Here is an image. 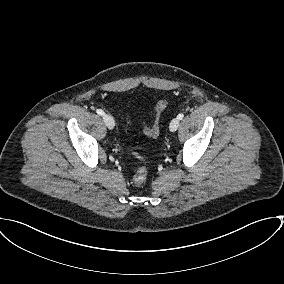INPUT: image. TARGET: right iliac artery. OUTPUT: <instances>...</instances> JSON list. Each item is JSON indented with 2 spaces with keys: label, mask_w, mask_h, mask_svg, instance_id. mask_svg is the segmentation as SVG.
<instances>
[{
  "label": "right iliac artery",
  "mask_w": 284,
  "mask_h": 284,
  "mask_svg": "<svg viewBox=\"0 0 284 284\" xmlns=\"http://www.w3.org/2000/svg\"><path fill=\"white\" fill-rule=\"evenodd\" d=\"M96 113H97L98 115H101V116H103V115L105 114L102 109H97V110H96Z\"/></svg>",
  "instance_id": "82829eb1"
}]
</instances>
